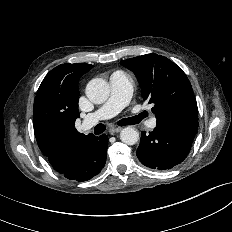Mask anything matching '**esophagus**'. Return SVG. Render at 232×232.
<instances>
[{
    "label": "esophagus",
    "instance_id": "1",
    "mask_svg": "<svg viewBox=\"0 0 232 232\" xmlns=\"http://www.w3.org/2000/svg\"><path fill=\"white\" fill-rule=\"evenodd\" d=\"M121 130H122V127H112V128L109 129V133H110L111 135H113V134H115V133L120 132Z\"/></svg>",
    "mask_w": 232,
    "mask_h": 232
}]
</instances>
